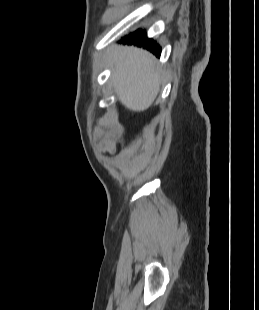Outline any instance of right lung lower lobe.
<instances>
[{"label":"right lung lower lobe","instance_id":"1","mask_svg":"<svg viewBox=\"0 0 259 310\" xmlns=\"http://www.w3.org/2000/svg\"><path fill=\"white\" fill-rule=\"evenodd\" d=\"M123 43L128 44H136L138 46H143L144 48L150 50L155 54L156 56H159L161 53V48L159 45L156 44V42L152 39L147 38L146 32L144 30H137L134 33L130 34L129 36H126L122 39Z\"/></svg>","mask_w":259,"mask_h":310}]
</instances>
